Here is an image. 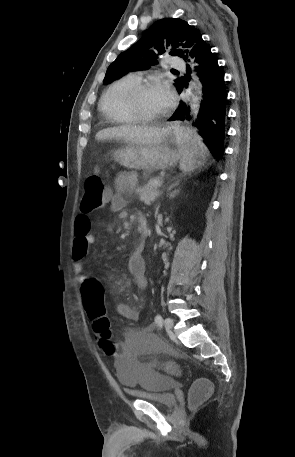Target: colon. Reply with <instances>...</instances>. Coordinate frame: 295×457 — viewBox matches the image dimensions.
I'll return each mask as SVG.
<instances>
[{
    "label": "colon",
    "mask_w": 295,
    "mask_h": 457,
    "mask_svg": "<svg viewBox=\"0 0 295 457\" xmlns=\"http://www.w3.org/2000/svg\"><path fill=\"white\" fill-rule=\"evenodd\" d=\"M109 200V192L98 172L90 174L85 181V191L81 210L85 213L103 207ZM85 310L92 321L100 355L109 356L110 360H121V347L115 346L110 332V322L103 304L102 277L89 279L82 287ZM207 381H197L190 390V402L196 405L211 391Z\"/></svg>",
    "instance_id": "5ec220e1"
}]
</instances>
